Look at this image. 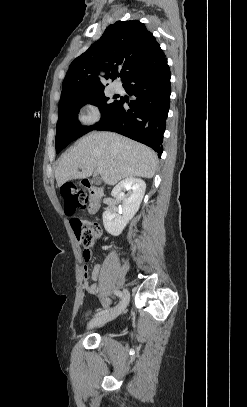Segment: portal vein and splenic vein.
Masks as SVG:
<instances>
[{
	"label": "portal vein and splenic vein",
	"instance_id": "1",
	"mask_svg": "<svg viewBox=\"0 0 247 407\" xmlns=\"http://www.w3.org/2000/svg\"><path fill=\"white\" fill-rule=\"evenodd\" d=\"M96 173H97V174H100V173H101V169H97V170H96Z\"/></svg>",
	"mask_w": 247,
	"mask_h": 407
}]
</instances>
